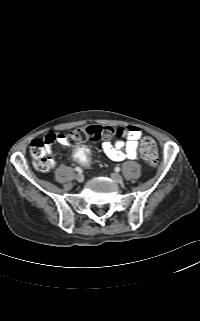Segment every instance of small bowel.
I'll return each mask as SVG.
<instances>
[{"instance_id": "c3829d8e", "label": "small bowel", "mask_w": 200, "mask_h": 321, "mask_svg": "<svg viewBox=\"0 0 200 321\" xmlns=\"http://www.w3.org/2000/svg\"><path fill=\"white\" fill-rule=\"evenodd\" d=\"M118 138L114 141L105 140L101 144V148L104 154L112 161L120 162L126 159L134 160L137 158L138 140L140 139L142 132L137 126H126L117 129ZM53 136V140L47 146V152H51V145L57 142L63 146L72 145L64 133H49L46 137ZM52 168L55 166L53 160H51Z\"/></svg>"}]
</instances>
